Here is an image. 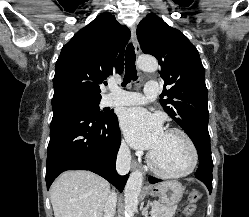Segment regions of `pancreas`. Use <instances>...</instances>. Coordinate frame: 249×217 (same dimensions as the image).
Wrapping results in <instances>:
<instances>
[{
    "label": "pancreas",
    "mask_w": 249,
    "mask_h": 217,
    "mask_svg": "<svg viewBox=\"0 0 249 217\" xmlns=\"http://www.w3.org/2000/svg\"><path fill=\"white\" fill-rule=\"evenodd\" d=\"M151 205L155 217H173L177 209L176 206L168 207L158 201L153 202Z\"/></svg>",
    "instance_id": "obj_1"
}]
</instances>
